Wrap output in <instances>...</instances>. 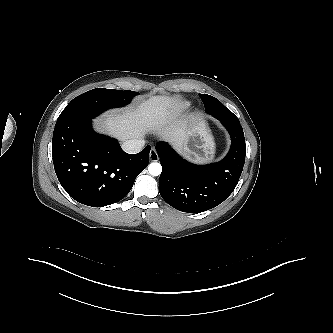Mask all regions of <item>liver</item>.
<instances>
[{"instance_id":"1","label":"liver","mask_w":333,"mask_h":333,"mask_svg":"<svg viewBox=\"0 0 333 333\" xmlns=\"http://www.w3.org/2000/svg\"><path fill=\"white\" fill-rule=\"evenodd\" d=\"M177 104L168 96H151L137 107L111 112L99 121L100 129L124 141L142 138L156 132L182 148L186 137L185 124L176 119Z\"/></svg>"}]
</instances>
